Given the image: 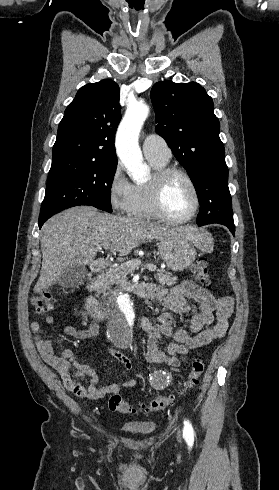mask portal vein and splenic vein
I'll return each instance as SVG.
<instances>
[{
  "instance_id": "18ae733b",
  "label": "portal vein and splenic vein",
  "mask_w": 279,
  "mask_h": 490,
  "mask_svg": "<svg viewBox=\"0 0 279 490\" xmlns=\"http://www.w3.org/2000/svg\"><path fill=\"white\" fill-rule=\"evenodd\" d=\"M110 244L109 242H107V244H103V248H109ZM128 266H134V268H138V266H141V262H127ZM147 268L148 270H150V272H155L156 270V266H154V264H147Z\"/></svg>"
}]
</instances>
